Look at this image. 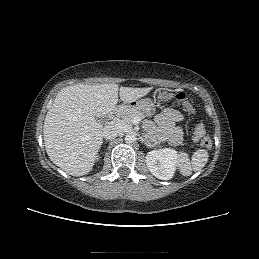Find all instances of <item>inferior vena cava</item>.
<instances>
[{
	"mask_svg": "<svg viewBox=\"0 0 259 259\" xmlns=\"http://www.w3.org/2000/svg\"><path fill=\"white\" fill-rule=\"evenodd\" d=\"M121 132L120 126L116 123H110L103 128V137L111 140L117 137Z\"/></svg>",
	"mask_w": 259,
	"mask_h": 259,
	"instance_id": "1",
	"label": "inferior vena cava"
}]
</instances>
